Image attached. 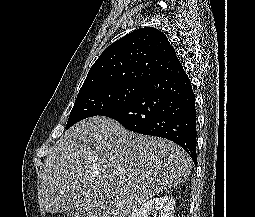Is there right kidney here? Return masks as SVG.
Segmentation results:
<instances>
[{
  "instance_id": "1",
  "label": "right kidney",
  "mask_w": 255,
  "mask_h": 217,
  "mask_svg": "<svg viewBox=\"0 0 255 217\" xmlns=\"http://www.w3.org/2000/svg\"><path fill=\"white\" fill-rule=\"evenodd\" d=\"M175 200L170 195L160 196L146 201L141 207L134 210L129 217H149L159 213L158 217H171Z\"/></svg>"
}]
</instances>
